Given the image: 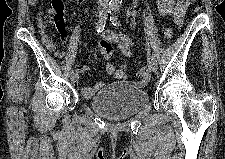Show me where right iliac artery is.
Masks as SVG:
<instances>
[{"label": "right iliac artery", "mask_w": 225, "mask_h": 159, "mask_svg": "<svg viewBox=\"0 0 225 159\" xmlns=\"http://www.w3.org/2000/svg\"><path fill=\"white\" fill-rule=\"evenodd\" d=\"M113 10V7L112 6H107L105 7V9L102 11L101 13V17L96 25V31L98 33L102 32L104 30V27H105V24H106V20L108 18V15L111 14ZM74 73V71L72 70L70 72V74Z\"/></svg>", "instance_id": "obj_1"}]
</instances>
